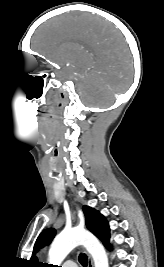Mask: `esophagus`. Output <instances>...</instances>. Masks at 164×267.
<instances>
[{
    "mask_svg": "<svg viewBox=\"0 0 164 267\" xmlns=\"http://www.w3.org/2000/svg\"><path fill=\"white\" fill-rule=\"evenodd\" d=\"M88 267H93V261L90 256H88Z\"/></svg>",
    "mask_w": 164,
    "mask_h": 267,
    "instance_id": "esophagus-1",
    "label": "esophagus"
}]
</instances>
